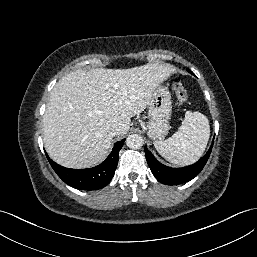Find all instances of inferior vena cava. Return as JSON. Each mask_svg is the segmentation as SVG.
Returning <instances> with one entry per match:
<instances>
[{"label": "inferior vena cava", "mask_w": 257, "mask_h": 257, "mask_svg": "<svg viewBox=\"0 0 257 257\" xmlns=\"http://www.w3.org/2000/svg\"><path fill=\"white\" fill-rule=\"evenodd\" d=\"M120 134V130L117 129V128H112L110 131H109V135L110 136H116V135H119Z\"/></svg>", "instance_id": "602c4592"}]
</instances>
